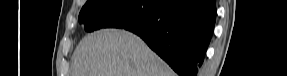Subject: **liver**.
<instances>
[{
    "instance_id": "6515ba94",
    "label": "liver",
    "mask_w": 287,
    "mask_h": 76,
    "mask_svg": "<svg viewBox=\"0 0 287 76\" xmlns=\"http://www.w3.org/2000/svg\"><path fill=\"white\" fill-rule=\"evenodd\" d=\"M72 76H175L138 36L104 29L86 35L72 55Z\"/></svg>"
}]
</instances>
